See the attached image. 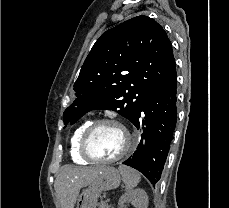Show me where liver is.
I'll return each instance as SVG.
<instances>
[{
    "mask_svg": "<svg viewBox=\"0 0 229 208\" xmlns=\"http://www.w3.org/2000/svg\"><path fill=\"white\" fill-rule=\"evenodd\" d=\"M105 166L87 168V166H62L60 174L56 178L54 188L61 208H74L81 188L89 186L99 176V172Z\"/></svg>",
    "mask_w": 229,
    "mask_h": 208,
    "instance_id": "liver-1",
    "label": "liver"
}]
</instances>
